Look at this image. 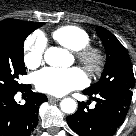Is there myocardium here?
<instances>
[{
  "mask_svg": "<svg viewBox=\"0 0 136 136\" xmlns=\"http://www.w3.org/2000/svg\"><path fill=\"white\" fill-rule=\"evenodd\" d=\"M78 61L92 75L98 74L105 63L103 51L97 47L85 46L75 51Z\"/></svg>",
  "mask_w": 136,
  "mask_h": 136,
  "instance_id": "myocardium-1",
  "label": "myocardium"
}]
</instances>
